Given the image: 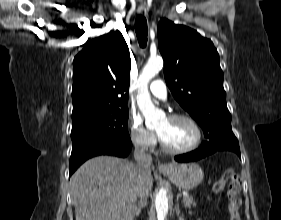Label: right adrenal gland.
Returning a JSON list of instances; mask_svg holds the SVG:
<instances>
[{
	"label": "right adrenal gland",
	"instance_id": "2a0ac1e0",
	"mask_svg": "<svg viewBox=\"0 0 281 220\" xmlns=\"http://www.w3.org/2000/svg\"><path fill=\"white\" fill-rule=\"evenodd\" d=\"M146 207V201H142L140 200L138 202V205L136 206V209H135V215L136 216H139L140 212H141V209Z\"/></svg>",
	"mask_w": 281,
	"mask_h": 220
}]
</instances>
